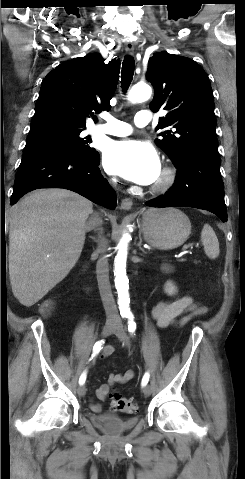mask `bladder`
Returning a JSON list of instances; mask_svg holds the SVG:
<instances>
[{"mask_svg":"<svg viewBox=\"0 0 245 479\" xmlns=\"http://www.w3.org/2000/svg\"><path fill=\"white\" fill-rule=\"evenodd\" d=\"M91 422L105 433L117 435L130 430L136 424L137 418L92 416Z\"/></svg>","mask_w":245,"mask_h":479,"instance_id":"bladder-1","label":"bladder"}]
</instances>
